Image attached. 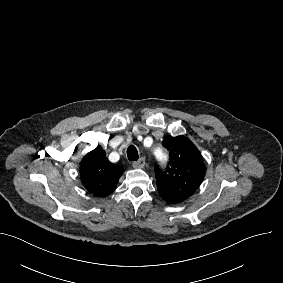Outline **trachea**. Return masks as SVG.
I'll list each match as a JSON object with an SVG mask.
<instances>
[{
  "label": "trachea",
  "instance_id": "trachea-1",
  "mask_svg": "<svg viewBox=\"0 0 283 283\" xmlns=\"http://www.w3.org/2000/svg\"><path fill=\"white\" fill-rule=\"evenodd\" d=\"M127 157L130 161H136L139 158L138 151L134 145H130L127 148Z\"/></svg>",
  "mask_w": 283,
  "mask_h": 283
}]
</instances>
